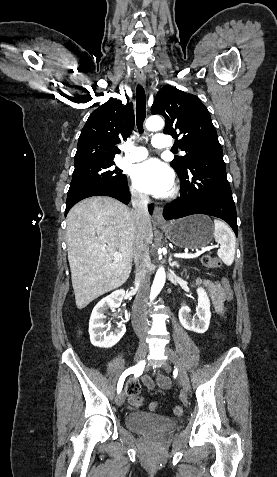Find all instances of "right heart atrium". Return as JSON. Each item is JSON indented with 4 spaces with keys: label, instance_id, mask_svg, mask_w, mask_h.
<instances>
[{
    "label": "right heart atrium",
    "instance_id": "d8ad5b80",
    "mask_svg": "<svg viewBox=\"0 0 277 477\" xmlns=\"http://www.w3.org/2000/svg\"><path fill=\"white\" fill-rule=\"evenodd\" d=\"M130 192H131V195L133 197L134 200L136 201H139V202H143L146 200V195L144 192H142L140 189H138L137 187H135L134 185H132L130 187Z\"/></svg>",
    "mask_w": 277,
    "mask_h": 477
}]
</instances>
